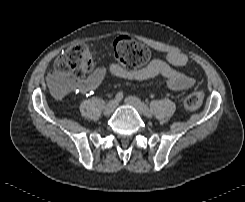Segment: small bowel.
<instances>
[{"instance_id": "obj_1", "label": "small bowel", "mask_w": 245, "mask_h": 202, "mask_svg": "<svg viewBox=\"0 0 245 202\" xmlns=\"http://www.w3.org/2000/svg\"><path fill=\"white\" fill-rule=\"evenodd\" d=\"M184 55L175 50L168 52L165 59L156 58L150 61L146 66L139 69H126L115 61H110L106 67H100L83 81H74L71 91L63 90V94H76L81 92L86 95L95 91L104 81L108 73L114 76L130 81H144L155 77L162 78L166 86L176 92L186 91L194 85V79L179 71L176 67L184 63Z\"/></svg>"}]
</instances>
